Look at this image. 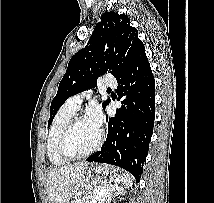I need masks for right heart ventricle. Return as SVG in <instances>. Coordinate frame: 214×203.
Returning a JSON list of instances; mask_svg holds the SVG:
<instances>
[{
    "instance_id": "1",
    "label": "right heart ventricle",
    "mask_w": 214,
    "mask_h": 203,
    "mask_svg": "<svg viewBox=\"0 0 214 203\" xmlns=\"http://www.w3.org/2000/svg\"><path fill=\"white\" fill-rule=\"evenodd\" d=\"M75 112L76 110L70 108L66 102L57 112L50 126L46 140V151L50 162L55 166H62L69 162V160L62 157L59 153L58 140L63 128L75 115Z\"/></svg>"
}]
</instances>
